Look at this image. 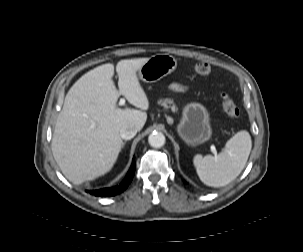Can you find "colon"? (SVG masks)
<instances>
[{
    "label": "colon",
    "mask_w": 303,
    "mask_h": 252,
    "mask_svg": "<svg viewBox=\"0 0 303 252\" xmlns=\"http://www.w3.org/2000/svg\"><path fill=\"white\" fill-rule=\"evenodd\" d=\"M194 70L196 73L200 75H209L211 73V67L207 63H197L194 66ZM222 106L226 112V114L231 119H237L240 116V110L235 105V103L228 97V95H222Z\"/></svg>",
    "instance_id": "colon-1"
}]
</instances>
